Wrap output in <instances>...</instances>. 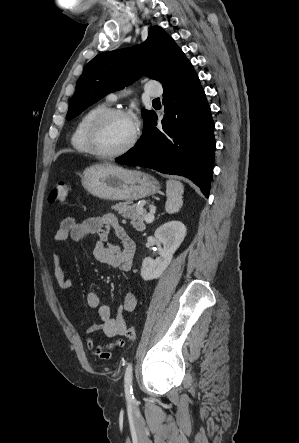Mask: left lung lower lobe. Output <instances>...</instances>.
<instances>
[{
	"mask_svg": "<svg viewBox=\"0 0 299 443\" xmlns=\"http://www.w3.org/2000/svg\"><path fill=\"white\" fill-rule=\"evenodd\" d=\"M164 118L158 129L154 112L134 148L117 163L151 168L192 180L208 197L216 143L205 93L192 65L163 85Z\"/></svg>",
	"mask_w": 299,
	"mask_h": 443,
	"instance_id": "1",
	"label": "left lung lower lobe"
}]
</instances>
